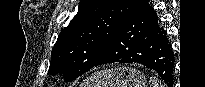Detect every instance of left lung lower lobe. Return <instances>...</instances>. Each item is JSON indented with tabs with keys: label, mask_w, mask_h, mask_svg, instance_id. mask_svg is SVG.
Wrapping results in <instances>:
<instances>
[{
	"label": "left lung lower lobe",
	"mask_w": 205,
	"mask_h": 87,
	"mask_svg": "<svg viewBox=\"0 0 205 87\" xmlns=\"http://www.w3.org/2000/svg\"><path fill=\"white\" fill-rule=\"evenodd\" d=\"M140 63L173 84L174 56L166 31L146 0H137L95 66Z\"/></svg>",
	"instance_id": "left-lung-lower-lobe-1"
}]
</instances>
